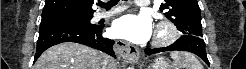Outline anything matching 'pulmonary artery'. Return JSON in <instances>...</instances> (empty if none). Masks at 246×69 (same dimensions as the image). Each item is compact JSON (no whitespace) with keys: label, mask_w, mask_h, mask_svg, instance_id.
<instances>
[{"label":"pulmonary artery","mask_w":246,"mask_h":69,"mask_svg":"<svg viewBox=\"0 0 246 69\" xmlns=\"http://www.w3.org/2000/svg\"><path fill=\"white\" fill-rule=\"evenodd\" d=\"M149 3L147 1H135V5L136 7H144V6H147ZM118 10H113L111 12H99L97 13V18L100 19L102 17H106V16H109V15H112V14H115Z\"/></svg>","instance_id":"obj_1"}]
</instances>
